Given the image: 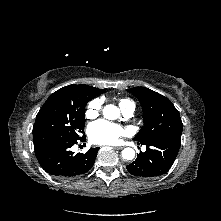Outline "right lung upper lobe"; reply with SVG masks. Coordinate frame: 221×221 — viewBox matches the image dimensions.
<instances>
[{"label":"right lung upper lobe","instance_id":"1","mask_svg":"<svg viewBox=\"0 0 221 221\" xmlns=\"http://www.w3.org/2000/svg\"><path fill=\"white\" fill-rule=\"evenodd\" d=\"M59 91H67L72 96H77L80 94L86 95L89 98V101L96 97L97 95H100L104 93L105 91L103 89L94 88L88 85H69L66 87H63L59 89Z\"/></svg>","mask_w":221,"mask_h":221}]
</instances>
